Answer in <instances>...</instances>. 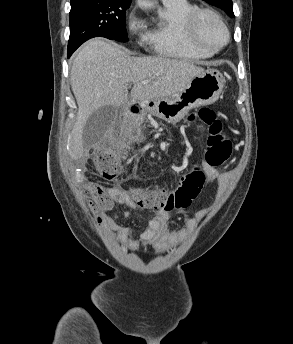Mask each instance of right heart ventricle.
<instances>
[{
    "instance_id": "1",
    "label": "right heart ventricle",
    "mask_w": 293,
    "mask_h": 344,
    "mask_svg": "<svg viewBox=\"0 0 293 344\" xmlns=\"http://www.w3.org/2000/svg\"><path fill=\"white\" fill-rule=\"evenodd\" d=\"M196 9L189 0L162 2L159 19L145 30L143 44L156 55L167 58L195 61L211 57L214 53L193 46L184 31L186 19Z\"/></svg>"
}]
</instances>
